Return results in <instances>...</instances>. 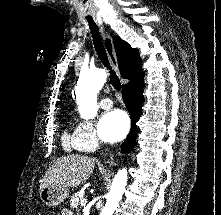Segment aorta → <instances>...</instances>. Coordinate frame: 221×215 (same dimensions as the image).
Returning a JSON list of instances; mask_svg holds the SVG:
<instances>
[{
	"mask_svg": "<svg viewBox=\"0 0 221 215\" xmlns=\"http://www.w3.org/2000/svg\"><path fill=\"white\" fill-rule=\"evenodd\" d=\"M107 79L103 69H96L79 77L75 88L78 110L82 118L93 119L98 110L97 94L102 89ZM128 173L125 168L120 169L115 175L107 201L100 215H112L116 210L127 184Z\"/></svg>",
	"mask_w": 221,
	"mask_h": 215,
	"instance_id": "1",
	"label": "aorta"
}]
</instances>
